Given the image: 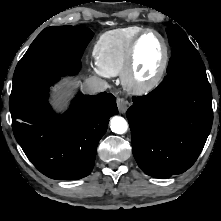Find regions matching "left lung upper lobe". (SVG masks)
I'll list each match as a JSON object with an SVG mask.
<instances>
[{"mask_svg":"<svg viewBox=\"0 0 221 221\" xmlns=\"http://www.w3.org/2000/svg\"><path fill=\"white\" fill-rule=\"evenodd\" d=\"M169 42L172 46V57L167 68V76L189 75L207 78L204 63L186 33L172 23H166Z\"/></svg>","mask_w":221,"mask_h":221,"instance_id":"left-lung-upper-lobe-1","label":"left lung upper lobe"}]
</instances>
